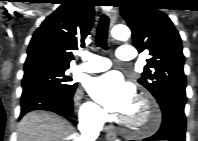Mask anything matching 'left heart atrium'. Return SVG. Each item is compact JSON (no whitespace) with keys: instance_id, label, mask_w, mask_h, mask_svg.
Wrapping results in <instances>:
<instances>
[{"instance_id":"39dd6f15","label":"left heart atrium","mask_w":198,"mask_h":141,"mask_svg":"<svg viewBox=\"0 0 198 141\" xmlns=\"http://www.w3.org/2000/svg\"><path fill=\"white\" fill-rule=\"evenodd\" d=\"M93 99L110 112L128 114L134 104V89L118 72L93 78L88 85Z\"/></svg>"}]
</instances>
